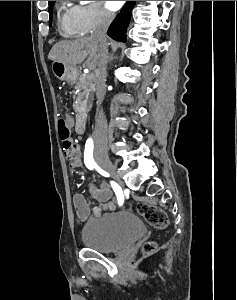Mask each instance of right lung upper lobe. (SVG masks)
Wrapping results in <instances>:
<instances>
[{"label": "right lung upper lobe", "instance_id": "obj_1", "mask_svg": "<svg viewBox=\"0 0 237 300\" xmlns=\"http://www.w3.org/2000/svg\"><path fill=\"white\" fill-rule=\"evenodd\" d=\"M53 1H49V4L52 3Z\"/></svg>", "mask_w": 237, "mask_h": 300}]
</instances>
